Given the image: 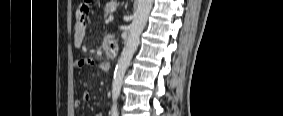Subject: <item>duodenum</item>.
I'll use <instances>...</instances> for the list:
<instances>
[{
	"label": "duodenum",
	"mask_w": 283,
	"mask_h": 116,
	"mask_svg": "<svg viewBox=\"0 0 283 116\" xmlns=\"http://www.w3.org/2000/svg\"><path fill=\"white\" fill-rule=\"evenodd\" d=\"M105 50L107 52L108 57L112 59V58H115L117 51H118V48L113 42L108 40L105 43Z\"/></svg>",
	"instance_id": "duodenum-1"
}]
</instances>
